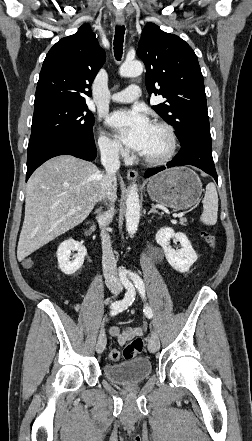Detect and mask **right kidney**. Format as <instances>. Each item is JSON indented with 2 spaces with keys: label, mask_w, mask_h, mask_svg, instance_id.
Wrapping results in <instances>:
<instances>
[{
  "label": "right kidney",
  "mask_w": 252,
  "mask_h": 441,
  "mask_svg": "<svg viewBox=\"0 0 252 441\" xmlns=\"http://www.w3.org/2000/svg\"><path fill=\"white\" fill-rule=\"evenodd\" d=\"M71 251H77L74 260L70 261ZM87 249L74 239L63 241L57 249L58 266L66 275H72L78 271L83 263Z\"/></svg>",
  "instance_id": "ca27d5eb"
}]
</instances>
